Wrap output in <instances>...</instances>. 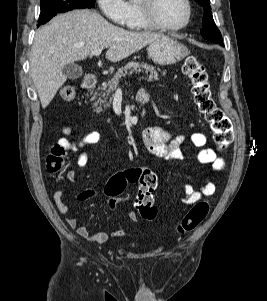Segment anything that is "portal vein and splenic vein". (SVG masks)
<instances>
[{"mask_svg": "<svg viewBox=\"0 0 267 301\" xmlns=\"http://www.w3.org/2000/svg\"><path fill=\"white\" fill-rule=\"evenodd\" d=\"M102 50H103V48H98L92 52V55L98 56L101 54Z\"/></svg>", "mask_w": 267, "mask_h": 301, "instance_id": "obj_1", "label": "portal vein and splenic vein"}]
</instances>
